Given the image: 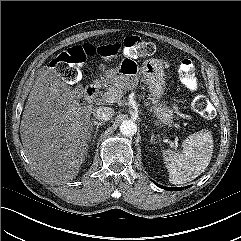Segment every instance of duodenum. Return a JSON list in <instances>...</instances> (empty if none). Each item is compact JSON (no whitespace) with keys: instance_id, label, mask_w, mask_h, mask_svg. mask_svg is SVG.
Segmentation results:
<instances>
[{"instance_id":"obj_1","label":"duodenum","mask_w":241,"mask_h":241,"mask_svg":"<svg viewBox=\"0 0 241 241\" xmlns=\"http://www.w3.org/2000/svg\"><path fill=\"white\" fill-rule=\"evenodd\" d=\"M100 85L99 81H95L85 88L84 96L87 101H91L96 97Z\"/></svg>"}]
</instances>
